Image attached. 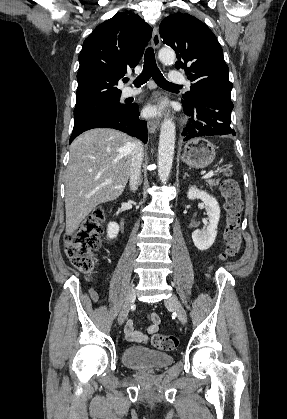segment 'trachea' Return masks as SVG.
<instances>
[{
    "mask_svg": "<svg viewBox=\"0 0 287 419\" xmlns=\"http://www.w3.org/2000/svg\"><path fill=\"white\" fill-rule=\"evenodd\" d=\"M150 77L161 87H174L179 86L168 82L157 67L155 54L152 48H147L144 56V66L142 73L134 81L136 87H140L146 83ZM128 78L124 79V82H128Z\"/></svg>",
    "mask_w": 287,
    "mask_h": 419,
    "instance_id": "trachea-1",
    "label": "trachea"
}]
</instances>
